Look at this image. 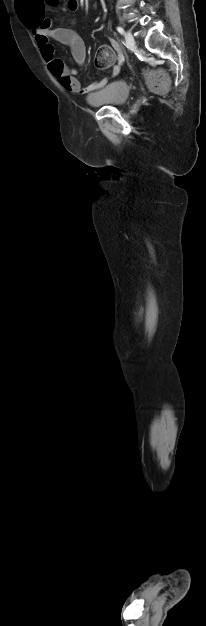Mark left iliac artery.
Wrapping results in <instances>:
<instances>
[{
    "instance_id": "44dca946",
    "label": "left iliac artery",
    "mask_w": 206,
    "mask_h": 626,
    "mask_svg": "<svg viewBox=\"0 0 206 626\" xmlns=\"http://www.w3.org/2000/svg\"><path fill=\"white\" fill-rule=\"evenodd\" d=\"M117 31L121 34H124V29L120 26L117 27Z\"/></svg>"
}]
</instances>
